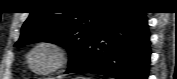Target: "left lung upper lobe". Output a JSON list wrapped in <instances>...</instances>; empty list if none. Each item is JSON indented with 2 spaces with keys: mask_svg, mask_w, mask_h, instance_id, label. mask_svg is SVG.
<instances>
[{
  "mask_svg": "<svg viewBox=\"0 0 177 79\" xmlns=\"http://www.w3.org/2000/svg\"><path fill=\"white\" fill-rule=\"evenodd\" d=\"M58 1H48L56 3ZM116 0L84 1V8L55 13L47 7L32 12L25 21L21 37L15 46L35 42H51L64 46L69 52V65L81 54L84 46L98 26L104 11Z\"/></svg>",
  "mask_w": 177,
  "mask_h": 79,
  "instance_id": "left-lung-upper-lobe-1",
  "label": "left lung upper lobe"
}]
</instances>
